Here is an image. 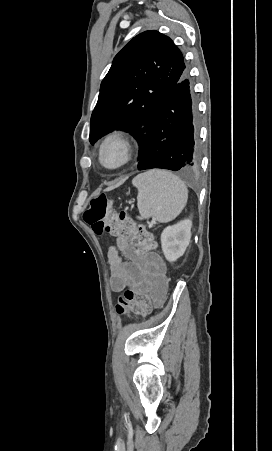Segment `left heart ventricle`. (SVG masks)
Segmentation results:
<instances>
[{
    "label": "left heart ventricle",
    "mask_w": 272,
    "mask_h": 451,
    "mask_svg": "<svg viewBox=\"0 0 272 451\" xmlns=\"http://www.w3.org/2000/svg\"><path fill=\"white\" fill-rule=\"evenodd\" d=\"M123 160L122 153L116 148H108L103 154V162L108 167H116Z\"/></svg>",
    "instance_id": "b2bd125f"
}]
</instances>
